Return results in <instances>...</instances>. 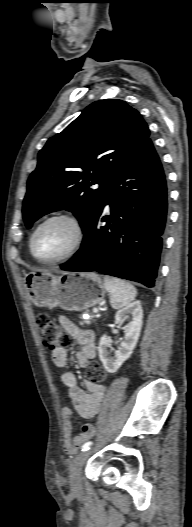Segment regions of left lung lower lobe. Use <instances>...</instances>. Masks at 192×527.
I'll return each mask as SVG.
<instances>
[{
	"instance_id": "obj_1",
	"label": "left lung lower lobe",
	"mask_w": 192,
	"mask_h": 527,
	"mask_svg": "<svg viewBox=\"0 0 192 527\" xmlns=\"http://www.w3.org/2000/svg\"><path fill=\"white\" fill-rule=\"evenodd\" d=\"M107 204L110 215L103 213ZM167 205L164 170L148 140L112 181L81 248L61 269L97 271L153 287Z\"/></svg>"
}]
</instances>
